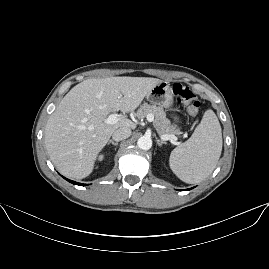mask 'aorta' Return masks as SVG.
Segmentation results:
<instances>
[{
	"mask_svg": "<svg viewBox=\"0 0 269 269\" xmlns=\"http://www.w3.org/2000/svg\"><path fill=\"white\" fill-rule=\"evenodd\" d=\"M137 146L143 151H148L152 146V140L149 137L142 136L138 139Z\"/></svg>",
	"mask_w": 269,
	"mask_h": 269,
	"instance_id": "1",
	"label": "aorta"
}]
</instances>
